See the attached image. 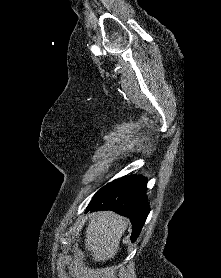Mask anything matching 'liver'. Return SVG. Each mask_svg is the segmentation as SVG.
Segmentation results:
<instances>
[{
    "instance_id": "1",
    "label": "liver",
    "mask_w": 221,
    "mask_h": 278,
    "mask_svg": "<svg viewBox=\"0 0 221 278\" xmlns=\"http://www.w3.org/2000/svg\"><path fill=\"white\" fill-rule=\"evenodd\" d=\"M128 220L111 211H100L90 216L85 235V248L96 262L106 261L117 254Z\"/></svg>"
}]
</instances>
